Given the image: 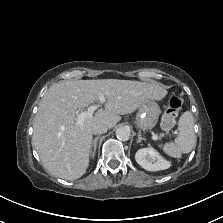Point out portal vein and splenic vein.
I'll return each mask as SVG.
<instances>
[{
    "label": "portal vein and splenic vein",
    "mask_w": 223,
    "mask_h": 223,
    "mask_svg": "<svg viewBox=\"0 0 223 223\" xmlns=\"http://www.w3.org/2000/svg\"><path fill=\"white\" fill-rule=\"evenodd\" d=\"M100 103L96 105L90 106L87 111L78 113L76 115V125H82L86 119H89L93 116L95 110H97L102 104L105 102V98L103 95H99ZM152 139L157 140L158 136L156 134H152Z\"/></svg>",
    "instance_id": "18ae733b"
}]
</instances>
